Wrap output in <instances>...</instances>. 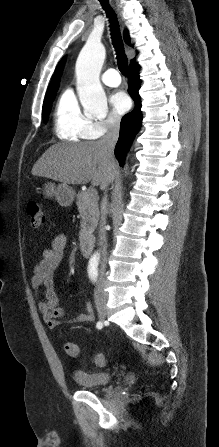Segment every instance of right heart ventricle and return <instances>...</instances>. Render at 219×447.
Returning a JSON list of instances; mask_svg holds the SVG:
<instances>
[{
    "mask_svg": "<svg viewBox=\"0 0 219 447\" xmlns=\"http://www.w3.org/2000/svg\"><path fill=\"white\" fill-rule=\"evenodd\" d=\"M53 123L56 136L66 142H80L97 137L94 122L81 111L71 90L64 91L59 97Z\"/></svg>",
    "mask_w": 219,
    "mask_h": 447,
    "instance_id": "1",
    "label": "right heart ventricle"
}]
</instances>
